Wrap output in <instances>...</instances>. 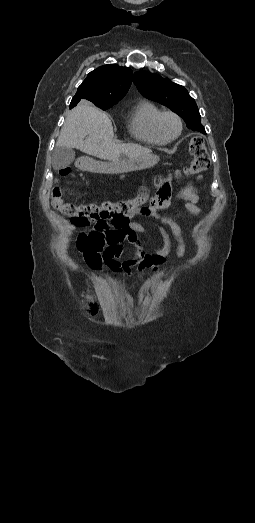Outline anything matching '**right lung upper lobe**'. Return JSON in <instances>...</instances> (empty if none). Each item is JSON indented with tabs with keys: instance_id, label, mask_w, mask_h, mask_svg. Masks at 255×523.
<instances>
[{
	"instance_id": "right-lung-upper-lobe-1",
	"label": "right lung upper lobe",
	"mask_w": 255,
	"mask_h": 523,
	"mask_svg": "<svg viewBox=\"0 0 255 523\" xmlns=\"http://www.w3.org/2000/svg\"><path fill=\"white\" fill-rule=\"evenodd\" d=\"M132 70L116 64L101 66L90 72L78 87L70 108L79 101L97 103L118 102L129 90Z\"/></svg>"
}]
</instances>
